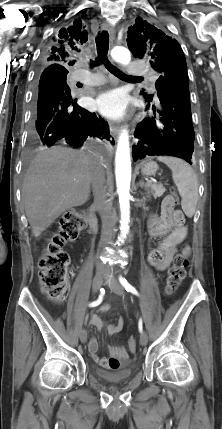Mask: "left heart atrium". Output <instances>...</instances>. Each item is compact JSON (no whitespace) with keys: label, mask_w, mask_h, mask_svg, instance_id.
<instances>
[{"label":"left heart atrium","mask_w":222,"mask_h":429,"mask_svg":"<svg viewBox=\"0 0 222 429\" xmlns=\"http://www.w3.org/2000/svg\"><path fill=\"white\" fill-rule=\"evenodd\" d=\"M95 107L107 118H120L126 109V96L120 90L105 92L97 98Z\"/></svg>","instance_id":"obj_1"}]
</instances>
